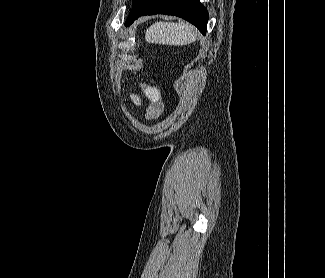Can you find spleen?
Listing matches in <instances>:
<instances>
[{
  "label": "spleen",
  "mask_w": 325,
  "mask_h": 278,
  "mask_svg": "<svg viewBox=\"0 0 325 278\" xmlns=\"http://www.w3.org/2000/svg\"><path fill=\"white\" fill-rule=\"evenodd\" d=\"M197 38L192 26L187 23L156 22L145 33L148 43L183 46L194 42Z\"/></svg>",
  "instance_id": "obj_1"
}]
</instances>
